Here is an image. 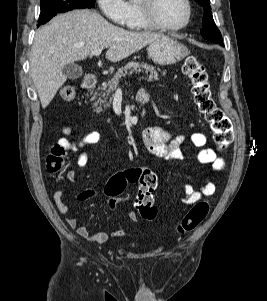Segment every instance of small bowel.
<instances>
[{"label":"small bowel","mask_w":267,"mask_h":301,"mask_svg":"<svg viewBox=\"0 0 267 301\" xmlns=\"http://www.w3.org/2000/svg\"><path fill=\"white\" fill-rule=\"evenodd\" d=\"M144 91V90H140ZM76 132V128L70 125H64L61 129L62 137L58 140V144L64 149L79 153L77 157V165L84 167L87 165L90 157L89 146L97 144L101 141L102 136L99 132H89L78 140L70 141L67 136ZM183 135L173 136L169 131L160 127H147L142 133V142L145 149L160 158L172 160H184V154L181 150V145L184 142ZM191 144L198 149L196 159L200 165H211L214 170L220 172L224 168V160L218 157L214 149L207 147V136L202 132L194 133L190 137ZM69 181H75L76 175L73 170L66 173ZM216 186L213 181L205 178L202 186L195 189L191 184H186L184 187V196L182 201L186 204H194L203 196H211L215 193ZM96 195L95 189H87L78 194V201H85L93 198ZM53 199L59 212L65 217L67 224L74 229L81 237L95 242L105 243L110 237H120L125 234L123 229L114 230L111 233L100 231L91 233L90 230L83 225H79L77 220L71 215L69 207L62 200V192L55 191ZM128 199L127 193L109 204L110 209L114 210L116 205ZM127 217L132 221H137L135 212L130 211Z\"/></svg>","instance_id":"c3829d8e"}]
</instances>
